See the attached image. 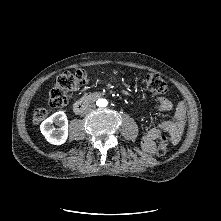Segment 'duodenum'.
I'll return each mask as SVG.
<instances>
[{
	"instance_id": "1",
	"label": "duodenum",
	"mask_w": 221,
	"mask_h": 221,
	"mask_svg": "<svg viewBox=\"0 0 221 221\" xmlns=\"http://www.w3.org/2000/svg\"><path fill=\"white\" fill-rule=\"evenodd\" d=\"M100 96H101L100 93H92L90 95H87L81 98L73 105L74 113L76 114L81 113L85 108H87L91 103H93Z\"/></svg>"
}]
</instances>
